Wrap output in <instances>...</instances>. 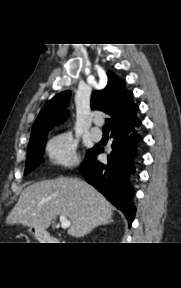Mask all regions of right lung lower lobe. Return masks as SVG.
I'll return each instance as SVG.
<instances>
[{"label": "right lung lower lobe", "mask_w": 181, "mask_h": 288, "mask_svg": "<svg viewBox=\"0 0 181 288\" xmlns=\"http://www.w3.org/2000/svg\"><path fill=\"white\" fill-rule=\"evenodd\" d=\"M140 124L141 121L132 127L118 129L111 133L112 150L107 163L96 160L97 155L103 152V149L95 146L80 168L87 182L122 211L129 224L133 222L136 212L132 200L135 193L132 185V177L135 173L133 159L137 156V143L142 138L135 132L134 127ZM132 131L133 134H130Z\"/></svg>", "instance_id": "1"}]
</instances>
